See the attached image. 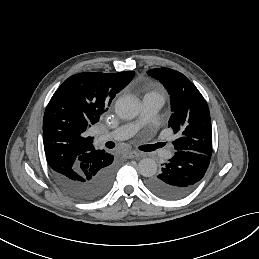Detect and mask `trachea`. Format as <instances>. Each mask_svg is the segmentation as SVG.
<instances>
[{
	"label": "trachea",
	"instance_id": "1",
	"mask_svg": "<svg viewBox=\"0 0 259 259\" xmlns=\"http://www.w3.org/2000/svg\"><path fill=\"white\" fill-rule=\"evenodd\" d=\"M106 147L112 148V147H113V144H111V142H107V143H106Z\"/></svg>",
	"mask_w": 259,
	"mask_h": 259
}]
</instances>
